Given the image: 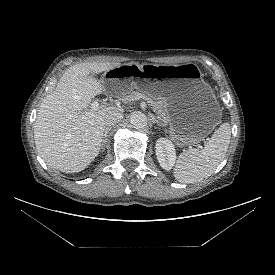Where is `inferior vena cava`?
<instances>
[{
	"label": "inferior vena cava",
	"instance_id": "602c4592",
	"mask_svg": "<svg viewBox=\"0 0 275 275\" xmlns=\"http://www.w3.org/2000/svg\"><path fill=\"white\" fill-rule=\"evenodd\" d=\"M123 119L122 112L118 110H112L108 112L105 116V125L114 126Z\"/></svg>",
	"mask_w": 275,
	"mask_h": 275
}]
</instances>
